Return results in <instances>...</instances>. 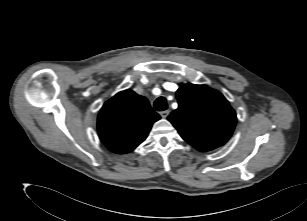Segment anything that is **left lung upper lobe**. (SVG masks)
Masks as SVG:
<instances>
[{
	"mask_svg": "<svg viewBox=\"0 0 307 221\" xmlns=\"http://www.w3.org/2000/svg\"><path fill=\"white\" fill-rule=\"evenodd\" d=\"M179 107L168 120L199 151L224 145L236 125V113L225 97L206 85L185 84L176 92Z\"/></svg>",
	"mask_w": 307,
	"mask_h": 221,
	"instance_id": "obj_1",
	"label": "left lung upper lobe"
}]
</instances>
